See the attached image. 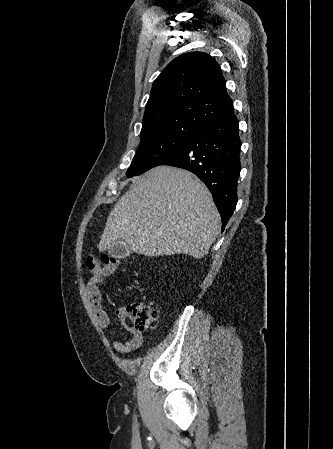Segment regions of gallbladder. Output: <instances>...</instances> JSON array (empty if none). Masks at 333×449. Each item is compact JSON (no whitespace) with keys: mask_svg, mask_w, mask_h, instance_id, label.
<instances>
[{"mask_svg":"<svg viewBox=\"0 0 333 449\" xmlns=\"http://www.w3.org/2000/svg\"><path fill=\"white\" fill-rule=\"evenodd\" d=\"M133 250L128 244H124L122 241H117L113 246L108 249V254L114 258H124L132 254Z\"/></svg>","mask_w":333,"mask_h":449,"instance_id":"obj_1","label":"gallbladder"}]
</instances>
